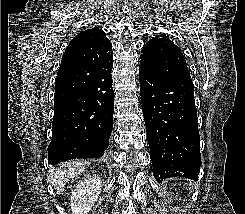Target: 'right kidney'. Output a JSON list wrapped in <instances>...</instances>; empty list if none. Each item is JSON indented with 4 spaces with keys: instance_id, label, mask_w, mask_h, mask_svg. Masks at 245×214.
Masks as SVG:
<instances>
[{
    "instance_id": "right-kidney-1",
    "label": "right kidney",
    "mask_w": 245,
    "mask_h": 214,
    "mask_svg": "<svg viewBox=\"0 0 245 214\" xmlns=\"http://www.w3.org/2000/svg\"><path fill=\"white\" fill-rule=\"evenodd\" d=\"M101 179L94 175L79 182L71 193L72 214H88L101 193Z\"/></svg>"
}]
</instances>
